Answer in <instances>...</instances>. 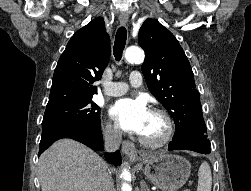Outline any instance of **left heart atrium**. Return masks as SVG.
<instances>
[{
  "mask_svg": "<svg viewBox=\"0 0 251 191\" xmlns=\"http://www.w3.org/2000/svg\"><path fill=\"white\" fill-rule=\"evenodd\" d=\"M109 115L119 129L142 134L151 112L142 100L123 98L110 106Z\"/></svg>",
  "mask_w": 251,
  "mask_h": 191,
  "instance_id": "left-heart-atrium-1",
  "label": "left heart atrium"
}]
</instances>
